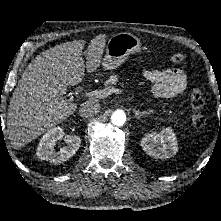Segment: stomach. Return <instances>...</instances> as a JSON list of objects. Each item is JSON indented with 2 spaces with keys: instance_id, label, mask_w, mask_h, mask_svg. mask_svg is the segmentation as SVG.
Masks as SVG:
<instances>
[{
  "instance_id": "0dacf381",
  "label": "stomach",
  "mask_w": 221,
  "mask_h": 221,
  "mask_svg": "<svg viewBox=\"0 0 221 221\" xmlns=\"http://www.w3.org/2000/svg\"><path fill=\"white\" fill-rule=\"evenodd\" d=\"M140 48L141 40L131 33L123 32L113 35L108 40L102 68L104 70L117 68L130 54L139 52Z\"/></svg>"
}]
</instances>
